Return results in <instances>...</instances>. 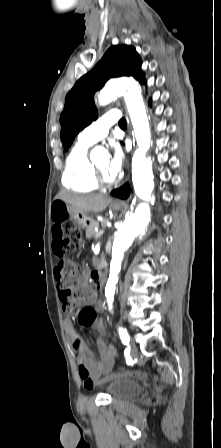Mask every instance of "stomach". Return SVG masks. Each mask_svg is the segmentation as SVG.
Masks as SVG:
<instances>
[{
	"label": "stomach",
	"instance_id": "stomach-1",
	"mask_svg": "<svg viewBox=\"0 0 221 448\" xmlns=\"http://www.w3.org/2000/svg\"><path fill=\"white\" fill-rule=\"evenodd\" d=\"M64 206L66 212L68 213V215L74 219V221L77 223V225L81 228H88L91 224H92V218L88 215V213L79 211L69 205H67L66 203H63L59 200L55 201L53 203V207H61ZM123 208V206L121 204H115L112 203L111 204V209L114 211H119Z\"/></svg>",
	"mask_w": 221,
	"mask_h": 448
}]
</instances>
